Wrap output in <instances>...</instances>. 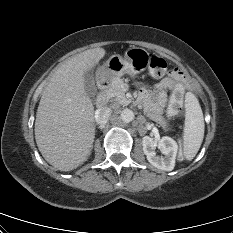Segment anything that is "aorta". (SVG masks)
I'll list each match as a JSON object with an SVG mask.
<instances>
[{
  "label": "aorta",
  "instance_id": "762f6f07",
  "mask_svg": "<svg viewBox=\"0 0 233 233\" xmlns=\"http://www.w3.org/2000/svg\"><path fill=\"white\" fill-rule=\"evenodd\" d=\"M134 112L130 109H124L122 110L121 114H120V119L124 122V123H130L134 120Z\"/></svg>",
  "mask_w": 233,
  "mask_h": 233
}]
</instances>
